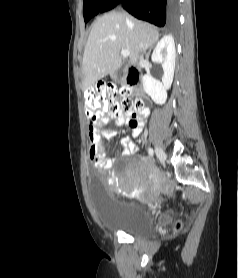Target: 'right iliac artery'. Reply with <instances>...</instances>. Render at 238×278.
Returning <instances> with one entry per match:
<instances>
[{
  "label": "right iliac artery",
  "mask_w": 238,
  "mask_h": 278,
  "mask_svg": "<svg viewBox=\"0 0 238 278\" xmlns=\"http://www.w3.org/2000/svg\"><path fill=\"white\" fill-rule=\"evenodd\" d=\"M148 153H149L150 156H153V154H154L153 149H152V148H149V149H148Z\"/></svg>",
  "instance_id": "obj_1"
}]
</instances>
